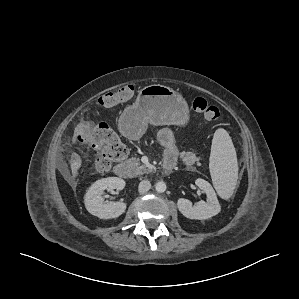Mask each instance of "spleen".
<instances>
[{"label":"spleen","mask_w":299,"mask_h":299,"mask_svg":"<svg viewBox=\"0 0 299 299\" xmlns=\"http://www.w3.org/2000/svg\"><path fill=\"white\" fill-rule=\"evenodd\" d=\"M209 161L215 189L222 198H230L238 179V163L232 139L223 128L214 133Z\"/></svg>","instance_id":"spleen-1"}]
</instances>
